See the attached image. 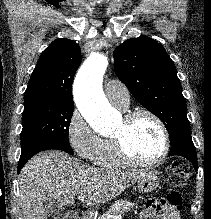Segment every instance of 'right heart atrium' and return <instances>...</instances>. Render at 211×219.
Here are the masks:
<instances>
[{"instance_id":"1","label":"right heart atrium","mask_w":211,"mask_h":219,"mask_svg":"<svg viewBox=\"0 0 211 219\" xmlns=\"http://www.w3.org/2000/svg\"><path fill=\"white\" fill-rule=\"evenodd\" d=\"M66 135L74 153L87 161L93 159L102 141L78 110L68 120Z\"/></svg>"}]
</instances>
